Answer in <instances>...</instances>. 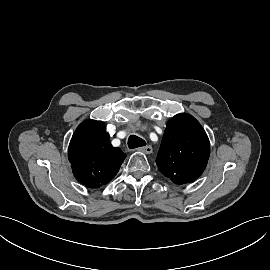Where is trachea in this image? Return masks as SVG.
Returning <instances> with one entry per match:
<instances>
[{
	"mask_svg": "<svg viewBox=\"0 0 270 270\" xmlns=\"http://www.w3.org/2000/svg\"><path fill=\"white\" fill-rule=\"evenodd\" d=\"M145 145H146V142L142 138H140L136 135H131L128 139V147L130 149L142 147Z\"/></svg>",
	"mask_w": 270,
	"mask_h": 270,
	"instance_id": "trachea-1",
	"label": "trachea"
}]
</instances>
